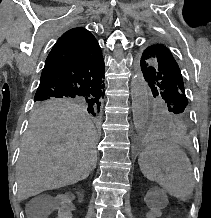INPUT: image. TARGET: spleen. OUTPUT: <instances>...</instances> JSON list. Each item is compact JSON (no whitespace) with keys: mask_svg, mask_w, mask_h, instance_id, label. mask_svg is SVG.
I'll return each mask as SVG.
<instances>
[{"mask_svg":"<svg viewBox=\"0 0 211 218\" xmlns=\"http://www.w3.org/2000/svg\"><path fill=\"white\" fill-rule=\"evenodd\" d=\"M145 178L157 182L170 196L185 202L194 188L192 166L184 152L176 150H144L138 158Z\"/></svg>","mask_w":211,"mask_h":218,"instance_id":"spleen-1","label":"spleen"}]
</instances>
